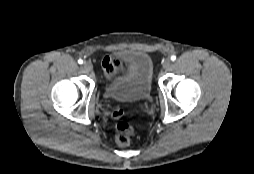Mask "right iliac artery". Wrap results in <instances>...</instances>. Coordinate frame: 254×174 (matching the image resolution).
Returning <instances> with one entry per match:
<instances>
[{"label":"right iliac artery","mask_w":254,"mask_h":174,"mask_svg":"<svg viewBox=\"0 0 254 174\" xmlns=\"http://www.w3.org/2000/svg\"><path fill=\"white\" fill-rule=\"evenodd\" d=\"M78 63H79V64H83V60H82V59H79V60H78Z\"/></svg>","instance_id":"right-iliac-artery-1"}]
</instances>
